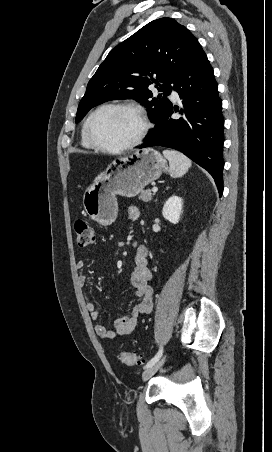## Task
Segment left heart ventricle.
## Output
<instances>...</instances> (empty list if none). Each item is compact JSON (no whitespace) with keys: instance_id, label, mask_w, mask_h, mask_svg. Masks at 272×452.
Here are the masks:
<instances>
[{"instance_id":"left-heart-ventricle-1","label":"left heart ventricle","mask_w":272,"mask_h":452,"mask_svg":"<svg viewBox=\"0 0 272 452\" xmlns=\"http://www.w3.org/2000/svg\"><path fill=\"white\" fill-rule=\"evenodd\" d=\"M140 129L137 118L128 111L107 109L99 113L92 123V131L102 143L119 147L132 141Z\"/></svg>"}]
</instances>
